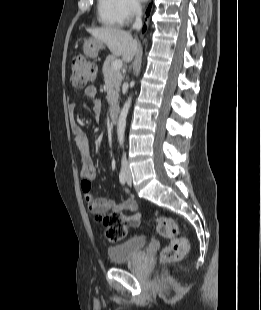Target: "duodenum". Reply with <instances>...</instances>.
Wrapping results in <instances>:
<instances>
[{"label":"duodenum","instance_id":"duodenum-1","mask_svg":"<svg viewBox=\"0 0 261 310\" xmlns=\"http://www.w3.org/2000/svg\"><path fill=\"white\" fill-rule=\"evenodd\" d=\"M119 114V106L117 104H112L108 111V117L111 123H115Z\"/></svg>","mask_w":261,"mask_h":310}]
</instances>
